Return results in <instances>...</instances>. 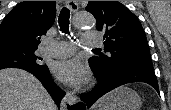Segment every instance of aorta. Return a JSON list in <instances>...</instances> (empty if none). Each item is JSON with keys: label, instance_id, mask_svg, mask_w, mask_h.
<instances>
[{"label": "aorta", "instance_id": "762f6f07", "mask_svg": "<svg viewBox=\"0 0 171 110\" xmlns=\"http://www.w3.org/2000/svg\"><path fill=\"white\" fill-rule=\"evenodd\" d=\"M95 24V18L87 12L78 13L74 18V26L78 29H92Z\"/></svg>", "mask_w": 171, "mask_h": 110}]
</instances>
